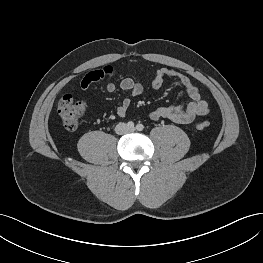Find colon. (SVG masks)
Instances as JSON below:
<instances>
[{
	"label": "colon",
	"instance_id": "obj_1",
	"mask_svg": "<svg viewBox=\"0 0 263 263\" xmlns=\"http://www.w3.org/2000/svg\"><path fill=\"white\" fill-rule=\"evenodd\" d=\"M57 110L64 127L68 130H74L78 127L80 119L85 113L86 104L83 100H77L72 95L67 94L60 99ZM208 127V122H202L198 125L201 130Z\"/></svg>",
	"mask_w": 263,
	"mask_h": 263
}]
</instances>
